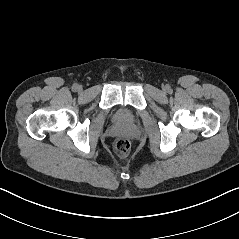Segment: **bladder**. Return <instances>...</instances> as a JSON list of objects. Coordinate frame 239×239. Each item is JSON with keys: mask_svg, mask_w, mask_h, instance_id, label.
<instances>
[{"mask_svg": "<svg viewBox=\"0 0 239 239\" xmlns=\"http://www.w3.org/2000/svg\"><path fill=\"white\" fill-rule=\"evenodd\" d=\"M113 117L116 122L121 124H134L137 121L135 114L125 108L116 110Z\"/></svg>", "mask_w": 239, "mask_h": 239, "instance_id": "bladder-1", "label": "bladder"}]
</instances>
